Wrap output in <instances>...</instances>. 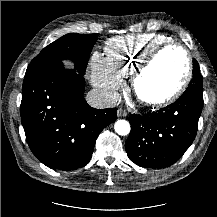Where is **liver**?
I'll use <instances>...</instances> for the list:
<instances>
[{
    "mask_svg": "<svg viewBox=\"0 0 217 217\" xmlns=\"http://www.w3.org/2000/svg\"><path fill=\"white\" fill-rule=\"evenodd\" d=\"M66 64H67L68 66H70V63L67 62Z\"/></svg>",
    "mask_w": 217,
    "mask_h": 217,
    "instance_id": "1",
    "label": "liver"
}]
</instances>
